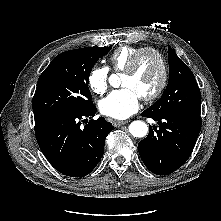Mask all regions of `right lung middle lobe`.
I'll use <instances>...</instances> for the list:
<instances>
[{
  "instance_id": "1",
  "label": "right lung middle lobe",
  "mask_w": 221,
  "mask_h": 221,
  "mask_svg": "<svg viewBox=\"0 0 221 221\" xmlns=\"http://www.w3.org/2000/svg\"><path fill=\"white\" fill-rule=\"evenodd\" d=\"M110 50L86 47L56 56L38 79L32 101L34 118L92 108L89 75L97 60Z\"/></svg>"
}]
</instances>
